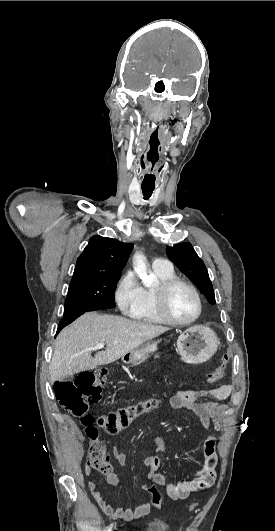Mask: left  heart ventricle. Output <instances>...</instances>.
<instances>
[{"mask_svg":"<svg viewBox=\"0 0 275 531\" xmlns=\"http://www.w3.org/2000/svg\"><path fill=\"white\" fill-rule=\"evenodd\" d=\"M168 310L177 320L191 319L197 312V303L189 289L176 285L168 296Z\"/></svg>","mask_w":275,"mask_h":531,"instance_id":"left-heart-ventricle-1","label":"left heart ventricle"}]
</instances>
